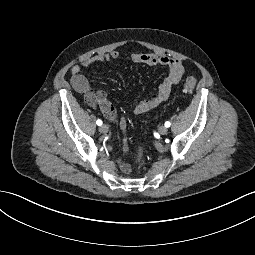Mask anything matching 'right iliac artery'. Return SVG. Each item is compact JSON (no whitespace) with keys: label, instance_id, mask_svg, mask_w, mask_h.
<instances>
[{"label":"right iliac artery","instance_id":"82829eb1","mask_svg":"<svg viewBox=\"0 0 255 255\" xmlns=\"http://www.w3.org/2000/svg\"><path fill=\"white\" fill-rule=\"evenodd\" d=\"M96 124L100 126V125H102V121L99 119L96 121Z\"/></svg>","mask_w":255,"mask_h":255}]
</instances>
